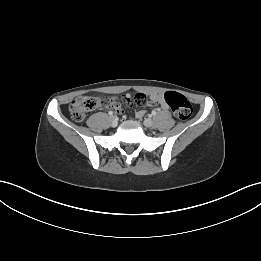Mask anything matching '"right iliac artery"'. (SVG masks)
<instances>
[{
  "label": "right iliac artery",
  "mask_w": 261,
  "mask_h": 261,
  "mask_svg": "<svg viewBox=\"0 0 261 261\" xmlns=\"http://www.w3.org/2000/svg\"><path fill=\"white\" fill-rule=\"evenodd\" d=\"M108 114H109L110 116H112V115H113V112H112V111H109Z\"/></svg>",
  "instance_id": "1"
}]
</instances>
